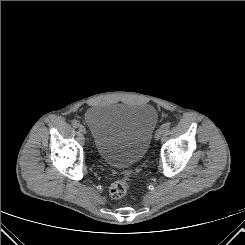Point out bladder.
Instances as JSON below:
<instances>
[{
	"mask_svg": "<svg viewBox=\"0 0 245 245\" xmlns=\"http://www.w3.org/2000/svg\"><path fill=\"white\" fill-rule=\"evenodd\" d=\"M98 157L107 165L124 168L145 155L158 122L149 104H100L85 114Z\"/></svg>",
	"mask_w": 245,
	"mask_h": 245,
	"instance_id": "obj_1",
	"label": "bladder"
}]
</instances>
